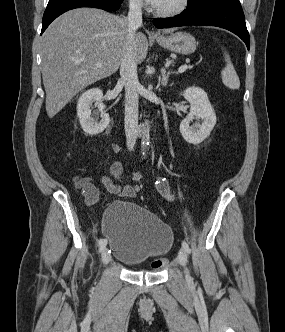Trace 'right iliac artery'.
Here are the masks:
<instances>
[{
    "instance_id": "right-iliac-artery-1",
    "label": "right iliac artery",
    "mask_w": 285,
    "mask_h": 332,
    "mask_svg": "<svg viewBox=\"0 0 285 332\" xmlns=\"http://www.w3.org/2000/svg\"><path fill=\"white\" fill-rule=\"evenodd\" d=\"M99 251H102L106 246V241L104 239L99 240Z\"/></svg>"
}]
</instances>
